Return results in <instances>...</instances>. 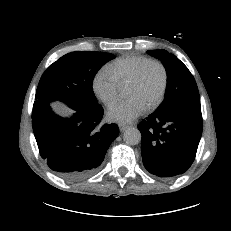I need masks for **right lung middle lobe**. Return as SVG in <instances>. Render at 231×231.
I'll list each match as a JSON object with an SVG mask.
<instances>
[{"label": "right lung middle lobe", "mask_w": 231, "mask_h": 231, "mask_svg": "<svg viewBox=\"0 0 231 231\" xmlns=\"http://www.w3.org/2000/svg\"><path fill=\"white\" fill-rule=\"evenodd\" d=\"M115 58L113 54L91 51L68 53L43 73L35 100H59L72 109L88 110L98 105L93 79L98 70Z\"/></svg>", "instance_id": "right-lung-middle-lobe-1"}]
</instances>
